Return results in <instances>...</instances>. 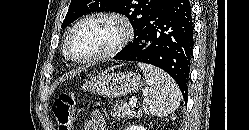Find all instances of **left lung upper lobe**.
I'll use <instances>...</instances> for the list:
<instances>
[{"label": "left lung upper lobe", "mask_w": 249, "mask_h": 130, "mask_svg": "<svg viewBox=\"0 0 249 130\" xmlns=\"http://www.w3.org/2000/svg\"><path fill=\"white\" fill-rule=\"evenodd\" d=\"M165 0H72L62 23V28L79 17L94 11H112L128 17L134 29V38L143 23Z\"/></svg>", "instance_id": "obj_1"}]
</instances>
